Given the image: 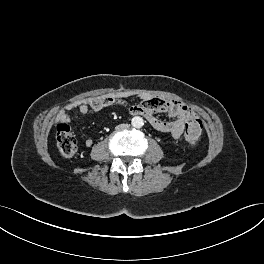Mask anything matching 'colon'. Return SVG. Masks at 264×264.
I'll list each match as a JSON object with an SVG mask.
<instances>
[{
    "label": "colon",
    "instance_id": "1",
    "mask_svg": "<svg viewBox=\"0 0 264 264\" xmlns=\"http://www.w3.org/2000/svg\"><path fill=\"white\" fill-rule=\"evenodd\" d=\"M202 122L198 118H189L185 123V139L194 146L202 134ZM57 147L65 157H72L77 152V142L68 122L62 121L57 125Z\"/></svg>",
    "mask_w": 264,
    "mask_h": 264
}]
</instances>
